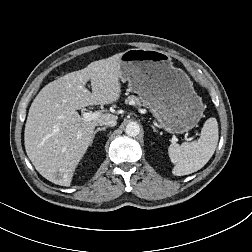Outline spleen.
<instances>
[{"label": "spleen", "instance_id": "obj_1", "mask_svg": "<svg viewBox=\"0 0 252 252\" xmlns=\"http://www.w3.org/2000/svg\"><path fill=\"white\" fill-rule=\"evenodd\" d=\"M217 144L218 123L216 118H209L204 123L198 140L169 146V157L175 165L172 173L183 176L200 170L213 156Z\"/></svg>", "mask_w": 252, "mask_h": 252}]
</instances>
